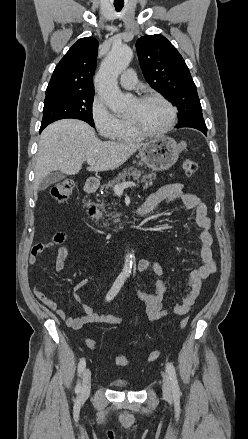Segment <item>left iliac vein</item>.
<instances>
[{"label": "left iliac vein", "instance_id": "obj_1", "mask_svg": "<svg viewBox=\"0 0 248 439\" xmlns=\"http://www.w3.org/2000/svg\"><path fill=\"white\" fill-rule=\"evenodd\" d=\"M162 391L163 395L166 399H171L172 397V387L170 383V379L167 373H163L162 375Z\"/></svg>", "mask_w": 248, "mask_h": 439}]
</instances>
